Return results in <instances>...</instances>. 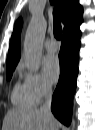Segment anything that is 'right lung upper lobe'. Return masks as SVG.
<instances>
[{
    "label": "right lung upper lobe",
    "instance_id": "1",
    "mask_svg": "<svg viewBox=\"0 0 95 130\" xmlns=\"http://www.w3.org/2000/svg\"><path fill=\"white\" fill-rule=\"evenodd\" d=\"M61 20L64 23V35L71 34L79 30L82 23V6L79 5L78 0H54ZM22 26V19H19L14 27L11 37L6 70L14 69L20 59V31Z\"/></svg>",
    "mask_w": 95,
    "mask_h": 130
}]
</instances>
